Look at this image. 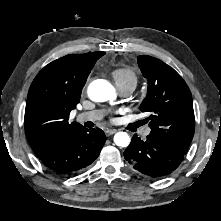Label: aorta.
I'll use <instances>...</instances> for the list:
<instances>
[{"instance_id": "1", "label": "aorta", "mask_w": 221, "mask_h": 221, "mask_svg": "<svg viewBox=\"0 0 221 221\" xmlns=\"http://www.w3.org/2000/svg\"><path fill=\"white\" fill-rule=\"evenodd\" d=\"M88 96L92 101L104 102L114 98L115 90L108 81L97 79L89 84ZM114 143L119 147H127L130 137L126 132H118L114 135Z\"/></svg>"}]
</instances>
